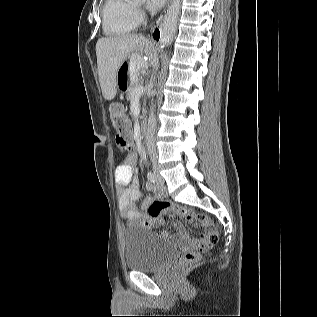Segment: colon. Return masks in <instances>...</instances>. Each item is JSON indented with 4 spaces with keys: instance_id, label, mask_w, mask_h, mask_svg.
<instances>
[{
    "instance_id": "5ec220e1",
    "label": "colon",
    "mask_w": 317,
    "mask_h": 317,
    "mask_svg": "<svg viewBox=\"0 0 317 317\" xmlns=\"http://www.w3.org/2000/svg\"><path fill=\"white\" fill-rule=\"evenodd\" d=\"M109 114L117 147L122 151H131L134 146L133 132L124 108L121 104H112ZM164 212H172L185 217L191 214L187 208L170 201H152L148 206V215L151 218H158ZM217 241V231L213 224L209 222L208 225L204 226V230L198 239H192L188 242L187 250L179 260V269L184 270L196 264L202 254L210 250Z\"/></svg>"
}]
</instances>
